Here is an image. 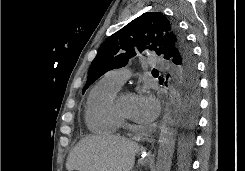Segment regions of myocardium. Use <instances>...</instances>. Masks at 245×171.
Listing matches in <instances>:
<instances>
[{
  "instance_id": "obj_1",
  "label": "myocardium",
  "mask_w": 245,
  "mask_h": 171,
  "mask_svg": "<svg viewBox=\"0 0 245 171\" xmlns=\"http://www.w3.org/2000/svg\"><path fill=\"white\" fill-rule=\"evenodd\" d=\"M127 94H132V92L128 91ZM114 109H115V112L118 115V117L121 119V121H123V122H130L131 121V118L130 117H128L127 115H125L124 113H122L119 110V108L117 106V103L114 105Z\"/></svg>"
}]
</instances>
